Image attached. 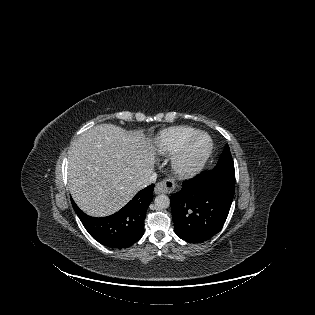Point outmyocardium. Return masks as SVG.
Instances as JSON below:
<instances>
[{
  "label": "myocardium",
  "mask_w": 315,
  "mask_h": 315,
  "mask_svg": "<svg viewBox=\"0 0 315 315\" xmlns=\"http://www.w3.org/2000/svg\"><path fill=\"white\" fill-rule=\"evenodd\" d=\"M206 139L205 147L195 152L194 145L199 138ZM213 150L211 137L206 133L199 131L193 135L183 147L174 155L172 159V169L174 173L181 178H188L199 173L208 161Z\"/></svg>",
  "instance_id": "1"
}]
</instances>
